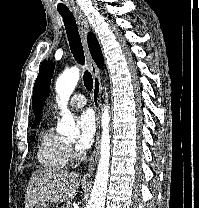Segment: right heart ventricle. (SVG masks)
Masks as SVG:
<instances>
[{
  "label": "right heart ventricle",
  "mask_w": 199,
  "mask_h": 208,
  "mask_svg": "<svg viewBox=\"0 0 199 208\" xmlns=\"http://www.w3.org/2000/svg\"><path fill=\"white\" fill-rule=\"evenodd\" d=\"M71 154L65 139L60 137L51 125L45 127L39 137L37 159L49 171H59L67 167Z\"/></svg>",
  "instance_id": "e07e8e85"
}]
</instances>
